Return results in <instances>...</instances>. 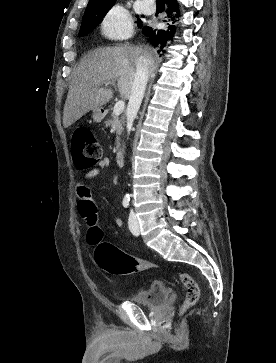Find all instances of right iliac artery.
I'll return each mask as SVG.
<instances>
[{"label":"right iliac artery","mask_w":276,"mask_h":363,"mask_svg":"<svg viewBox=\"0 0 276 363\" xmlns=\"http://www.w3.org/2000/svg\"><path fill=\"white\" fill-rule=\"evenodd\" d=\"M129 203H130V200H123V206L125 207V208H127V207H129Z\"/></svg>","instance_id":"1"}]
</instances>
